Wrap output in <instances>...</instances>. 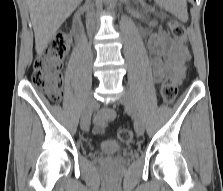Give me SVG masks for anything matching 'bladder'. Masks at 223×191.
<instances>
[{
  "label": "bladder",
  "instance_id": "obj_1",
  "mask_svg": "<svg viewBox=\"0 0 223 191\" xmlns=\"http://www.w3.org/2000/svg\"><path fill=\"white\" fill-rule=\"evenodd\" d=\"M100 152L105 155L117 154L122 150L121 145L114 140H104L100 144Z\"/></svg>",
  "mask_w": 223,
  "mask_h": 191
}]
</instances>
